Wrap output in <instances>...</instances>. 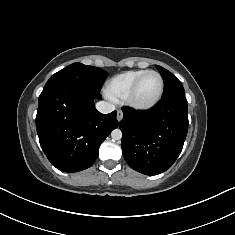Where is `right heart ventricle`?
<instances>
[{"instance_id": "obj_1", "label": "right heart ventricle", "mask_w": 235, "mask_h": 235, "mask_svg": "<svg viewBox=\"0 0 235 235\" xmlns=\"http://www.w3.org/2000/svg\"><path fill=\"white\" fill-rule=\"evenodd\" d=\"M145 71L143 69L129 70L113 76L106 83V95L114 101L123 100L133 82Z\"/></svg>"}]
</instances>
